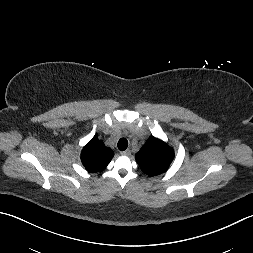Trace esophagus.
Segmentation results:
<instances>
[{"instance_id":"34e87169","label":"esophagus","mask_w":253,"mask_h":253,"mask_svg":"<svg viewBox=\"0 0 253 253\" xmlns=\"http://www.w3.org/2000/svg\"><path fill=\"white\" fill-rule=\"evenodd\" d=\"M130 153L131 152H130L129 149L120 152V154L123 155V156H128V155H130Z\"/></svg>"}]
</instances>
